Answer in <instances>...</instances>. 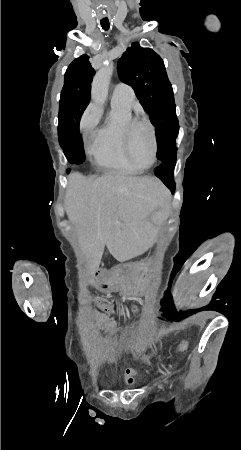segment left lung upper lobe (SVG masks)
<instances>
[{"instance_id":"1","label":"left lung upper lobe","mask_w":241,"mask_h":450,"mask_svg":"<svg viewBox=\"0 0 241 450\" xmlns=\"http://www.w3.org/2000/svg\"><path fill=\"white\" fill-rule=\"evenodd\" d=\"M118 75L121 81L132 86L149 114L157 135V157L166 160L176 151L179 124L163 60L152 49L133 43L118 60Z\"/></svg>"}]
</instances>
